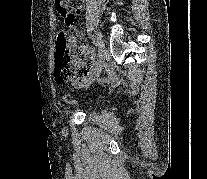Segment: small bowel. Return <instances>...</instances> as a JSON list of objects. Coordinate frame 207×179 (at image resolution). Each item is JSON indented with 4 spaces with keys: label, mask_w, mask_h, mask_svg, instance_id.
<instances>
[{
    "label": "small bowel",
    "mask_w": 207,
    "mask_h": 179,
    "mask_svg": "<svg viewBox=\"0 0 207 179\" xmlns=\"http://www.w3.org/2000/svg\"><path fill=\"white\" fill-rule=\"evenodd\" d=\"M79 14H81V8H77L74 12H73V15H72V19H71V23H73V20H74V16L75 15H79ZM71 44H72V47L73 48H76L77 47V45H76V42H75V40L74 39H71ZM97 66H98V64L95 66V69H94V71L96 70V68H97ZM101 84H103V85H116L117 84V81H116V79L111 75V74H108L107 76H105V77H103L102 79H101Z\"/></svg>",
    "instance_id": "small-bowel-1"
}]
</instances>
